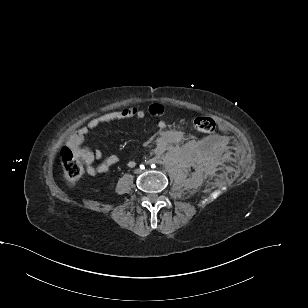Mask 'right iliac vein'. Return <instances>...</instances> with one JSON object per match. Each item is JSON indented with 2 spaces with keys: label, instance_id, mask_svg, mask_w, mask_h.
<instances>
[{
  "label": "right iliac vein",
  "instance_id": "obj_1",
  "mask_svg": "<svg viewBox=\"0 0 308 308\" xmlns=\"http://www.w3.org/2000/svg\"><path fill=\"white\" fill-rule=\"evenodd\" d=\"M141 172H142V171H141V169H139V168H137V169L134 170V173H135V174H140Z\"/></svg>",
  "mask_w": 308,
  "mask_h": 308
}]
</instances>
